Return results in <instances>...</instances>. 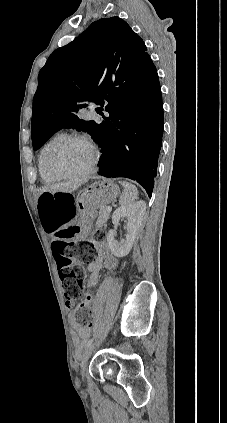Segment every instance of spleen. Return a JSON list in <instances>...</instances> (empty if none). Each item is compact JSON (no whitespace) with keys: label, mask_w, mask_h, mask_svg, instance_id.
Here are the masks:
<instances>
[{"label":"spleen","mask_w":227,"mask_h":423,"mask_svg":"<svg viewBox=\"0 0 227 423\" xmlns=\"http://www.w3.org/2000/svg\"><path fill=\"white\" fill-rule=\"evenodd\" d=\"M121 186H123V194L120 198L121 206H133L134 200H137L138 190L133 186V184H129V182H119Z\"/></svg>","instance_id":"obj_1"}]
</instances>
